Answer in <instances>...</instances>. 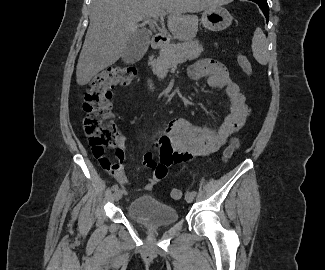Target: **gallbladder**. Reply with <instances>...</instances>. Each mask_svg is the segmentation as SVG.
<instances>
[{
    "label": "gallbladder",
    "mask_w": 325,
    "mask_h": 270,
    "mask_svg": "<svg viewBox=\"0 0 325 270\" xmlns=\"http://www.w3.org/2000/svg\"><path fill=\"white\" fill-rule=\"evenodd\" d=\"M151 33L147 30H138L135 32L123 52L122 59L126 63L139 61L148 49Z\"/></svg>",
    "instance_id": "1"
}]
</instances>
